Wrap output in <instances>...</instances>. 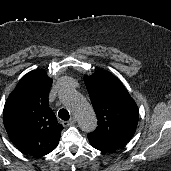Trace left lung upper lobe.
<instances>
[{"instance_id":"5c2ea615","label":"left lung upper lobe","mask_w":171,"mask_h":171,"mask_svg":"<svg viewBox=\"0 0 171 171\" xmlns=\"http://www.w3.org/2000/svg\"><path fill=\"white\" fill-rule=\"evenodd\" d=\"M84 81L98 119V126L88 134V139L114 150L123 147L133 137L138 124L135 101L109 72L97 70L85 76Z\"/></svg>"}]
</instances>
